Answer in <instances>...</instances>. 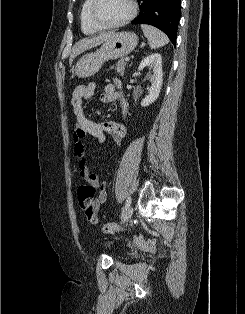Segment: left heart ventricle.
Listing matches in <instances>:
<instances>
[{
    "instance_id": "left-heart-ventricle-1",
    "label": "left heart ventricle",
    "mask_w": 245,
    "mask_h": 314,
    "mask_svg": "<svg viewBox=\"0 0 245 314\" xmlns=\"http://www.w3.org/2000/svg\"><path fill=\"white\" fill-rule=\"evenodd\" d=\"M129 0H98L97 16L104 23H114L130 12Z\"/></svg>"
}]
</instances>
